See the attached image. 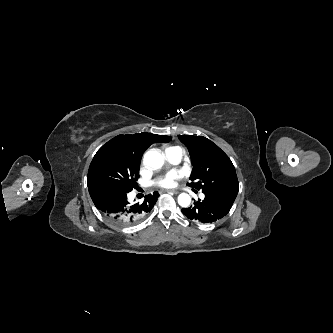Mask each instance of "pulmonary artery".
I'll return each instance as SVG.
<instances>
[{"instance_id":"obj_1","label":"pulmonary artery","mask_w":333,"mask_h":333,"mask_svg":"<svg viewBox=\"0 0 333 333\" xmlns=\"http://www.w3.org/2000/svg\"><path fill=\"white\" fill-rule=\"evenodd\" d=\"M183 154V150L179 147H170L165 151L167 161L174 165L182 161ZM200 197L203 199L204 194H201Z\"/></svg>"}]
</instances>
